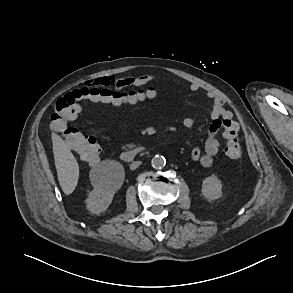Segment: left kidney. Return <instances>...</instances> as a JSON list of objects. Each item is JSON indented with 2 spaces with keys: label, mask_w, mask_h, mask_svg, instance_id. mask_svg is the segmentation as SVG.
<instances>
[{
  "label": "left kidney",
  "mask_w": 293,
  "mask_h": 293,
  "mask_svg": "<svg viewBox=\"0 0 293 293\" xmlns=\"http://www.w3.org/2000/svg\"><path fill=\"white\" fill-rule=\"evenodd\" d=\"M201 191L207 200H216L223 196L222 183L215 176H209L203 180Z\"/></svg>",
  "instance_id": "1"
}]
</instances>
